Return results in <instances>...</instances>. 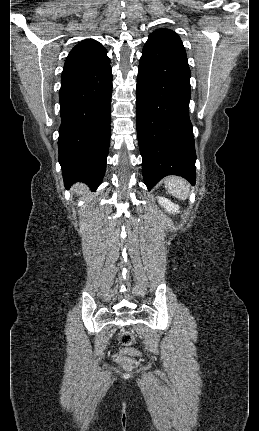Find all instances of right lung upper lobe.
I'll return each instance as SVG.
<instances>
[{
	"label": "right lung upper lobe",
	"instance_id": "1",
	"mask_svg": "<svg viewBox=\"0 0 259 431\" xmlns=\"http://www.w3.org/2000/svg\"><path fill=\"white\" fill-rule=\"evenodd\" d=\"M107 50L98 41L86 39L78 43L69 53L62 77L100 69L110 64Z\"/></svg>",
	"mask_w": 259,
	"mask_h": 431
}]
</instances>
